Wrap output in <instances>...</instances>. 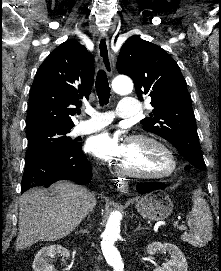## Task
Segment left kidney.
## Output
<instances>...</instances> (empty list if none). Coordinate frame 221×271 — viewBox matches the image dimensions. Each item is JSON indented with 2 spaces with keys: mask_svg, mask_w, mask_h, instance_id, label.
<instances>
[{
  "mask_svg": "<svg viewBox=\"0 0 221 271\" xmlns=\"http://www.w3.org/2000/svg\"><path fill=\"white\" fill-rule=\"evenodd\" d=\"M156 251L169 253L170 259H167L162 267H154L153 271H188L186 257L174 243H161V241L148 243L147 253H150L151 257Z\"/></svg>",
  "mask_w": 221,
  "mask_h": 271,
  "instance_id": "1",
  "label": "left kidney"
}]
</instances>
